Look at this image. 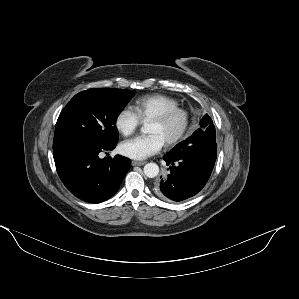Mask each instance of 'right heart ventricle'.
I'll return each mask as SVG.
<instances>
[{
    "instance_id": "obj_1",
    "label": "right heart ventricle",
    "mask_w": 299,
    "mask_h": 299,
    "mask_svg": "<svg viewBox=\"0 0 299 299\" xmlns=\"http://www.w3.org/2000/svg\"><path fill=\"white\" fill-rule=\"evenodd\" d=\"M178 106L179 103L174 97L162 93H153L138 97L133 103V110L139 119L144 121L167 109Z\"/></svg>"
}]
</instances>
